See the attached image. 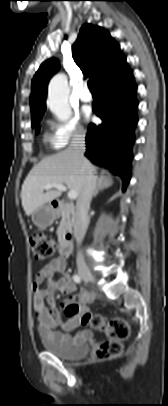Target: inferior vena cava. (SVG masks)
I'll use <instances>...</instances> for the list:
<instances>
[{"label": "inferior vena cava", "instance_id": "602c4592", "mask_svg": "<svg viewBox=\"0 0 168 406\" xmlns=\"http://www.w3.org/2000/svg\"><path fill=\"white\" fill-rule=\"evenodd\" d=\"M68 150L72 152L73 156L81 163L82 166V182L83 188L79 195L77 201V207L73 220L74 227V237L77 242V246L81 245L89 222V208L92 196L95 192L97 186V177L94 175V170L85 163L84 152H85V135L78 133L72 138V141L68 147ZM77 266L79 268H85L86 264L84 262L82 253L80 250L77 252Z\"/></svg>", "mask_w": 168, "mask_h": 406}]
</instances>
